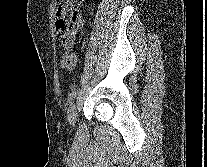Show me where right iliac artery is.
I'll list each match as a JSON object with an SVG mask.
<instances>
[{
	"mask_svg": "<svg viewBox=\"0 0 207 167\" xmlns=\"http://www.w3.org/2000/svg\"><path fill=\"white\" fill-rule=\"evenodd\" d=\"M75 96H76V91H75V89H73L68 97V101H69L70 106L73 103Z\"/></svg>",
	"mask_w": 207,
	"mask_h": 167,
	"instance_id": "82829eb1",
	"label": "right iliac artery"
}]
</instances>
